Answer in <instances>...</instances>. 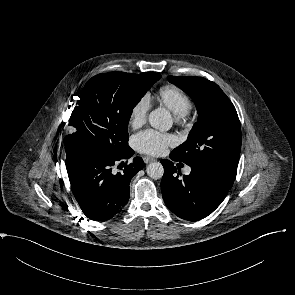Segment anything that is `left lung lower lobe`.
Returning <instances> with one entry per match:
<instances>
[{"mask_svg": "<svg viewBox=\"0 0 295 295\" xmlns=\"http://www.w3.org/2000/svg\"><path fill=\"white\" fill-rule=\"evenodd\" d=\"M173 161H179L170 154ZM164 175L161 181L163 200L176 216L196 221L211 214L224 200L230 186L216 174L202 168H192L188 176L179 178L178 170L167 159L161 160Z\"/></svg>", "mask_w": 295, "mask_h": 295, "instance_id": "obj_1", "label": "left lung lower lobe"}]
</instances>
